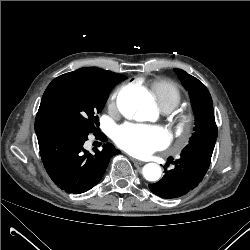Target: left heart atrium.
Returning a JSON list of instances; mask_svg holds the SVG:
<instances>
[{
  "label": "left heart atrium",
  "instance_id": "obj_1",
  "mask_svg": "<svg viewBox=\"0 0 250 250\" xmlns=\"http://www.w3.org/2000/svg\"><path fill=\"white\" fill-rule=\"evenodd\" d=\"M170 141L169 132L161 126L125 124L115 133L117 145L137 157L163 149Z\"/></svg>",
  "mask_w": 250,
  "mask_h": 250
}]
</instances>
